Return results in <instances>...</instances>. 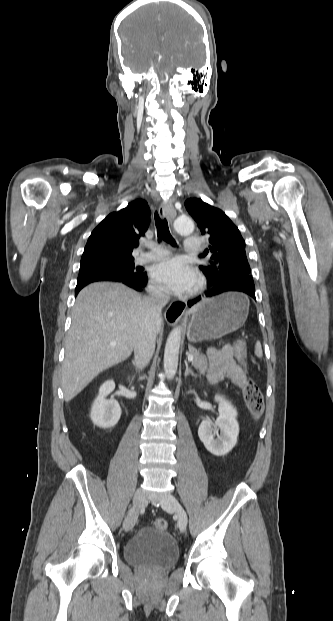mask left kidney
<instances>
[{
	"label": "left kidney",
	"mask_w": 333,
	"mask_h": 621,
	"mask_svg": "<svg viewBox=\"0 0 333 621\" xmlns=\"http://www.w3.org/2000/svg\"><path fill=\"white\" fill-rule=\"evenodd\" d=\"M215 401L219 403V416L215 424L207 420L202 421L198 429V436L210 453L215 456H224L237 443L239 435V424L236 419L237 410L220 395L215 396ZM217 428L220 429V435L215 439Z\"/></svg>",
	"instance_id": "left-kidney-1"
}]
</instances>
